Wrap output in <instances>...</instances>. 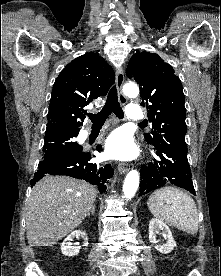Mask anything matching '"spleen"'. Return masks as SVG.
<instances>
[{
    "mask_svg": "<svg viewBox=\"0 0 221 276\" xmlns=\"http://www.w3.org/2000/svg\"><path fill=\"white\" fill-rule=\"evenodd\" d=\"M154 217L185 233L198 231V212L195 201L175 187H163L154 191L147 202Z\"/></svg>",
    "mask_w": 221,
    "mask_h": 276,
    "instance_id": "1",
    "label": "spleen"
}]
</instances>
